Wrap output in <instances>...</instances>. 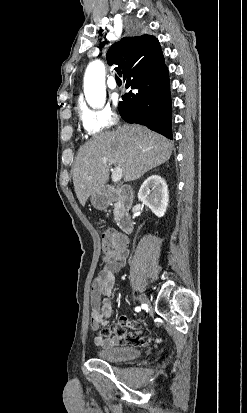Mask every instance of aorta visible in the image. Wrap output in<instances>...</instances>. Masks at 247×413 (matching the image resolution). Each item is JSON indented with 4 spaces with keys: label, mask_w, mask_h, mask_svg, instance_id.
Segmentation results:
<instances>
[{
    "label": "aorta",
    "mask_w": 247,
    "mask_h": 413,
    "mask_svg": "<svg viewBox=\"0 0 247 413\" xmlns=\"http://www.w3.org/2000/svg\"><path fill=\"white\" fill-rule=\"evenodd\" d=\"M84 94L93 108H101L106 99L105 66L100 60L91 62L84 76Z\"/></svg>",
    "instance_id": "obj_1"
}]
</instances>
